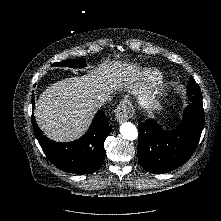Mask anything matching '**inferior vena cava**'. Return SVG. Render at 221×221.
I'll use <instances>...</instances> for the list:
<instances>
[{
    "instance_id": "1",
    "label": "inferior vena cava",
    "mask_w": 221,
    "mask_h": 221,
    "mask_svg": "<svg viewBox=\"0 0 221 221\" xmlns=\"http://www.w3.org/2000/svg\"><path fill=\"white\" fill-rule=\"evenodd\" d=\"M108 99H109L108 96L101 94V95H98L97 102L101 106V105L105 104L108 101Z\"/></svg>"
}]
</instances>
